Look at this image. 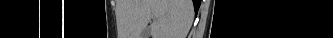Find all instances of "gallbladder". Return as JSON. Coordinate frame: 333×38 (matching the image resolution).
I'll return each mask as SVG.
<instances>
[{"label":"gallbladder","mask_w":333,"mask_h":38,"mask_svg":"<svg viewBox=\"0 0 333 38\" xmlns=\"http://www.w3.org/2000/svg\"><path fill=\"white\" fill-rule=\"evenodd\" d=\"M150 37V28L147 26L144 28L140 34V38H149Z\"/></svg>","instance_id":"bac80fb5"}]
</instances>
